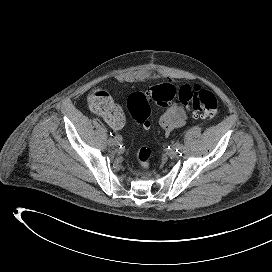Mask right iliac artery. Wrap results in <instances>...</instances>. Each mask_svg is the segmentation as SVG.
<instances>
[{
    "mask_svg": "<svg viewBox=\"0 0 272 272\" xmlns=\"http://www.w3.org/2000/svg\"><path fill=\"white\" fill-rule=\"evenodd\" d=\"M109 137H110L111 142H113V143H116L120 140V135L115 132L111 133Z\"/></svg>",
    "mask_w": 272,
    "mask_h": 272,
    "instance_id": "obj_1",
    "label": "right iliac artery"
}]
</instances>
